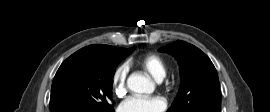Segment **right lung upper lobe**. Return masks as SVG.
<instances>
[{
	"mask_svg": "<svg viewBox=\"0 0 270 112\" xmlns=\"http://www.w3.org/2000/svg\"><path fill=\"white\" fill-rule=\"evenodd\" d=\"M112 46L109 45H90L84 47L77 52H75L74 56L84 55L90 57H98L104 55L107 51L111 49Z\"/></svg>",
	"mask_w": 270,
	"mask_h": 112,
	"instance_id": "obj_1",
	"label": "right lung upper lobe"
}]
</instances>
